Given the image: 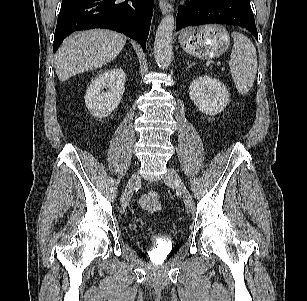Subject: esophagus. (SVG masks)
Segmentation results:
<instances>
[{"label": "esophagus", "mask_w": 307, "mask_h": 301, "mask_svg": "<svg viewBox=\"0 0 307 301\" xmlns=\"http://www.w3.org/2000/svg\"><path fill=\"white\" fill-rule=\"evenodd\" d=\"M159 8L164 15L172 11V5L166 0L159 1Z\"/></svg>", "instance_id": "obj_1"}]
</instances>
